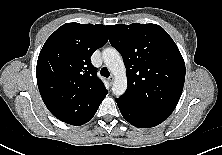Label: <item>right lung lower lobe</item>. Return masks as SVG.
<instances>
[{
    "mask_svg": "<svg viewBox=\"0 0 222 155\" xmlns=\"http://www.w3.org/2000/svg\"><path fill=\"white\" fill-rule=\"evenodd\" d=\"M97 109H98V108H97ZM97 109L94 110V111H93L91 114H89L88 116L80 119L78 122H74V124H71V125L79 126V125H82V124L88 122V121L94 116V114L96 113Z\"/></svg>",
    "mask_w": 222,
    "mask_h": 155,
    "instance_id": "98d812e1",
    "label": "right lung lower lobe"
}]
</instances>
